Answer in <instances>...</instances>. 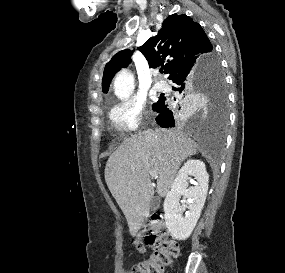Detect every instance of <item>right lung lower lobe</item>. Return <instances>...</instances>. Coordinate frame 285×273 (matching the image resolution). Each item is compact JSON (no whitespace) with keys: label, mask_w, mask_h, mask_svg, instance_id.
Masks as SVG:
<instances>
[{"label":"right lung lower lobe","mask_w":285,"mask_h":273,"mask_svg":"<svg viewBox=\"0 0 285 273\" xmlns=\"http://www.w3.org/2000/svg\"><path fill=\"white\" fill-rule=\"evenodd\" d=\"M208 59L209 57L203 58L196 64L187 66L171 77L170 80L176 84V87L173 89L182 94H187L194 86L200 84L203 79ZM181 107L180 104L175 108L170 109L168 99L164 97L160 98L157 103L153 104V110L159 113L156 118L157 123L161 127H173L175 122L185 115V110L189 107V104Z\"/></svg>","instance_id":"98d812e1"}]
</instances>
